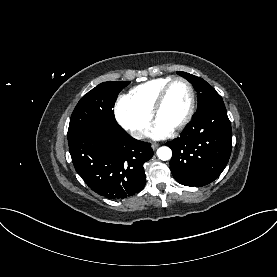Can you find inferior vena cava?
<instances>
[{
    "instance_id": "obj_1",
    "label": "inferior vena cava",
    "mask_w": 277,
    "mask_h": 277,
    "mask_svg": "<svg viewBox=\"0 0 277 277\" xmlns=\"http://www.w3.org/2000/svg\"><path fill=\"white\" fill-rule=\"evenodd\" d=\"M132 136L135 138H142L143 137V133L141 131H133L131 132Z\"/></svg>"
}]
</instances>
